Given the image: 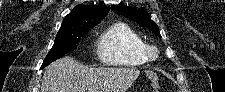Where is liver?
I'll list each match as a JSON object with an SVG mask.
<instances>
[{"label":"liver","instance_id":"6515ba94","mask_svg":"<svg viewBox=\"0 0 225 92\" xmlns=\"http://www.w3.org/2000/svg\"><path fill=\"white\" fill-rule=\"evenodd\" d=\"M139 74L130 68H92L64 57L45 69L41 92H126Z\"/></svg>","mask_w":225,"mask_h":92}]
</instances>
